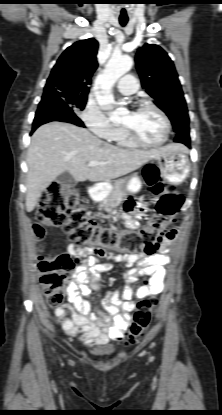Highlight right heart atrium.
<instances>
[{"label":"right heart atrium","mask_w":222,"mask_h":415,"mask_svg":"<svg viewBox=\"0 0 222 415\" xmlns=\"http://www.w3.org/2000/svg\"><path fill=\"white\" fill-rule=\"evenodd\" d=\"M83 124L97 137L111 140L118 129L100 106L93 100H89L80 113Z\"/></svg>","instance_id":"d8ad5b80"}]
</instances>
